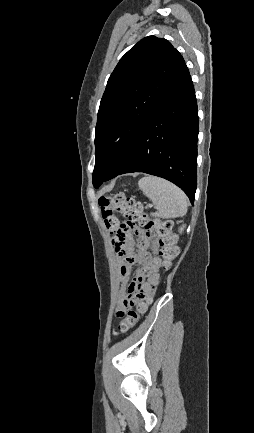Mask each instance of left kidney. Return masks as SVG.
<instances>
[{
	"label": "left kidney",
	"instance_id": "5707ae66",
	"mask_svg": "<svg viewBox=\"0 0 254 433\" xmlns=\"http://www.w3.org/2000/svg\"><path fill=\"white\" fill-rule=\"evenodd\" d=\"M184 228H185V226L183 225V226L179 229V232L182 233L183 230H184Z\"/></svg>",
	"mask_w": 254,
	"mask_h": 433
}]
</instances>
